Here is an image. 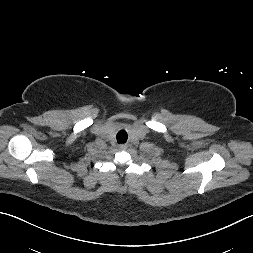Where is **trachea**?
<instances>
[{
	"label": "trachea",
	"instance_id": "obj_1",
	"mask_svg": "<svg viewBox=\"0 0 253 253\" xmlns=\"http://www.w3.org/2000/svg\"><path fill=\"white\" fill-rule=\"evenodd\" d=\"M117 142L118 143H125L127 141V133L124 130H121L120 132H118L117 134Z\"/></svg>",
	"mask_w": 253,
	"mask_h": 253
}]
</instances>
